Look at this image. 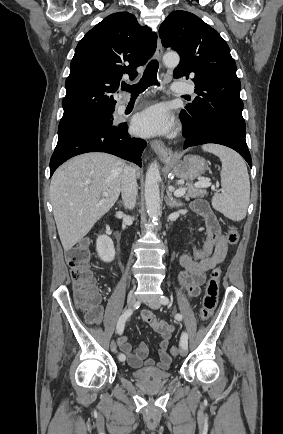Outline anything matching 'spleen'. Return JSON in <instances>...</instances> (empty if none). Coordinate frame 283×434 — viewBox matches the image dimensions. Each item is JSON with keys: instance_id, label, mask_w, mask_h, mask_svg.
<instances>
[{"instance_id": "obj_1", "label": "spleen", "mask_w": 283, "mask_h": 434, "mask_svg": "<svg viewBox=\"0 0 283 434\" xmlns=\"http://www.w3.org/2000/svg\"><path fill=\"white\" fill-rule=\"evenodd\" d=\"M203 150L215 154L222 162L221 185L223 191L212 199L215 210L233 221L245 218L250 198V181L243 159L226 147L207 144Z\"/></svg>"}]
</instances>
